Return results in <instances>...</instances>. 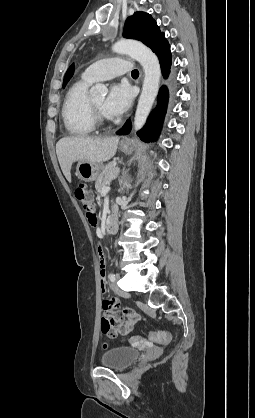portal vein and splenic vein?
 I'll return each instance as SVG.
<instances>
[{"label":"portal vein and splenic vein","instance_id":"1","mask_svg":"<svg viewBox=\"0 0 255 418\" xmlns=\"http://www.w3.org/2000/svg\"><path fill=\"white\" fill-rule=\"evenodd\" d=\"M109 191H110V187H105L103 188L102 193H107Z\"/></svg>","mask_w":255,"mask_h":418}]
</instances>
